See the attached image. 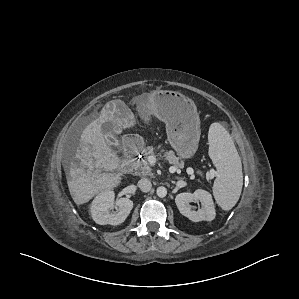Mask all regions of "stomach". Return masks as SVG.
<instances>
[{
  "label": "stomach",
  "instance_id": "stomach-1",
  "mask_svg": "<svg viewBox=\"0 0 299 299\" xmlns=\"http://www.w3.org/2000/svg\"><path fill=\"white\" fill-rule=\"evenodd\" d=\"M143 102L150 115L166 124L168 141L177 154L193 157L201 134L195 103L180 92L161 89L146 94Z\"/></svg>",
  "mask_w": 299,
  "mask_h": 299
}]
</instances>
